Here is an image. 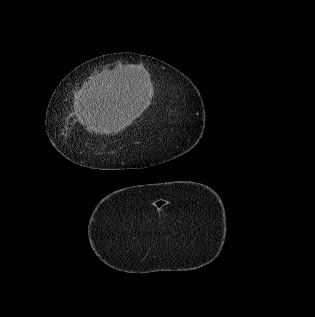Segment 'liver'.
I'll use <instances>...</instances> for the list:
<instances>
[{"label":"liver","mask_w":315,"mask_h":317,"mask_svg":"<svg viewBox=\"0 0 315 317\" xmlns=\"http://www.w3.org/2000/svg\"><path fill=\"white\" fill-rule=\"evenodd\" d=\"M129 67L123 70L127 71ZM103 81L84 89L80 99L79 121L88 131L118 133L129 126L136 117L130 100H122L117 87Z\"/></svg>","instance_id":"obj_1"}]
</instances>
